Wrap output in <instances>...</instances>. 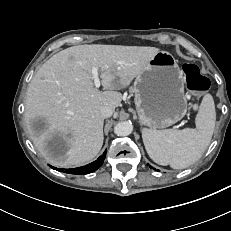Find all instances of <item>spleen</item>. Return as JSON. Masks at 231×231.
Returning <instances> with one entry per match:
<instances>
[{
    "instance_id": "spleen-1",
    "label": "spleen",
    "mask_w": 231,
    "mask_h": 231,
    "mask_svg": "<svg viewBox=\"0 0 231 231\" xmlns=\"http://www.w3.org/2000/svg\"><path fill=\"white\" fill-rule=\"evenodd\" d=\"M216 121L214 100L206 94L196 116V128L153 130L144 128L142 139L149 157L159 165L184 169L195 163L212 138Z\"/></svg>"
}]
</instances>
